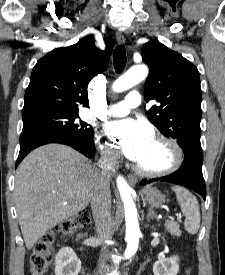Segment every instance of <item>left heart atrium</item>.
I'll return each mask as SVG.
<instances>
[{"label": "left heart atrium", "mask_w": 225, "mask_h": 275, "mask_svg": "<svg viewBox=\"0 0 225 275\" xmlns=\"http://www.w3.org/2000/svg\"><path fill=\"white\" fill-rule=\"evenodd\" d=\"M106 133L121 152L136 163L154 139L153 131L146 122L132 118L109 122Z\"/></svg>", "instance_id": "39dd6f15"}]
</instances>
